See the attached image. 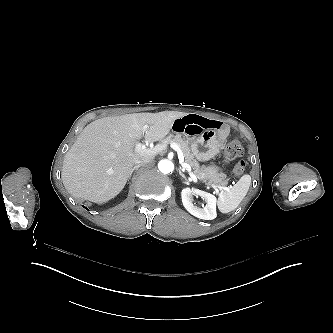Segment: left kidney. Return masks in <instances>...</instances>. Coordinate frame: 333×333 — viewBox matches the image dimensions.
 I'll list each match as a JSON object with an SVG mask.
<instances>
[{
	"instance_id": "5707ae66",
	"label": "left kidney",
	"mask_w": 333,
	"mask_h": 333,
	"mask_svg": "<svg viewBox=\"0 0 333 333\" xmlns=\"http://www.w3.org/2000/svg\"><path fill=\"white\" fill-rule=\"evenodd\" d=\"M193 195H198L203 198L206 205L203 208H199L193 204ZM182 203L185 209L193 216L204 219L213 220L217 217L216 202L217 199L214 195L195 188H184L181 191Z\"/></svg>"
}]
</instances>
